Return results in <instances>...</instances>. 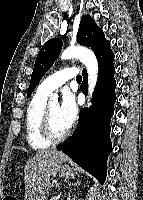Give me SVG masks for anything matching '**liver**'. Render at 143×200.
Instances as JSON below:
<instances>
[{"instance_id": "1", "label": "liver", "mask_w": 143, "mask_h": 200, "mask_svg": "<svg viewBox=\"0 0 143 200\" xmlns=\"http://www.w3.org/2000/svg\"><path fill=\"white\" fill-rule=\"evenodd\" d=\"M66 160L68 157L56 150H41L29 158L24 167V200H46L50 177L56 175L60 164Z\"/></svg>"}]
</instances>
